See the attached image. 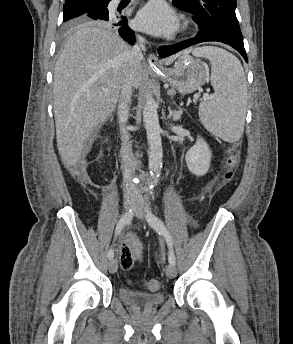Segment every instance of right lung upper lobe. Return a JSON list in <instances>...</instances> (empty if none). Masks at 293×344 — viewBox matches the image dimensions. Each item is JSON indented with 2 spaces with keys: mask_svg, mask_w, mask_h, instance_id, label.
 I'll return each mask as SVG.
<instances>
[{
  "mask_svg": "<svg viewBox=\"0 0 293 344\" xmlns=\"http://www.w3.org/2000/svg\"><path fill=\"white\" fill-rule=\"evenodd\" d=\"M82 1H86V0H66V4L65 5L73 4V3H77V2H82ZM74 27H77V26L75 25V26H73L71 28H74Z\"/></svg>",
  "mask_w": 293,
  "mask_h": 344,
  "instance_id": "obj_1",
  "label": "right lung upper lobe"
}]
</instances>
